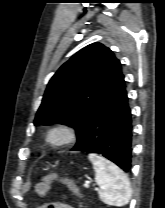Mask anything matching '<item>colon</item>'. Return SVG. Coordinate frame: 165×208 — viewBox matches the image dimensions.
Listing matches in <instances>:
<instances>
[{
	"label": "colon",
	"mask_w": 165,
	"mask_h": 208,
	"mask_svg": "<svg viewBox=\"0 0 165 208\" xmlns=\"http://www.w3.org/2000/svg\"><path fill=\"white\" fill-rule=\"evenodd\" d=\"M56 180L65 184L74 194L78 196L81 195L78 187L72 181L54 174L45 176L43 180L36 185L35 192L37 195L44 196L48 192L51 183Z\"/></svg>",
	"instance_id": "1"
}]
</instances>
